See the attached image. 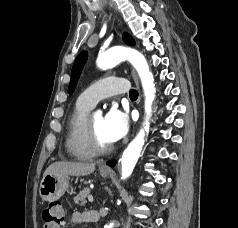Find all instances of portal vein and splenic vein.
<instances>
[{
  "mask_svg": "<svg viewBox=\"0 0 238 228\" xmlns=\"http://www.w3.org/2000/svg\"><path fill=\"white\" fill-rule=\"evenodd\" d=\"M88 200H89V202L92 203L94 199H93V197L90 195V196L88 197Z\"/></svg>",
  "mask_w": 238,
  "mask_h": 228,
  "instance_id": "18ae733b",
  "label": "portal vein and splenic vein"
}]
</instances>
